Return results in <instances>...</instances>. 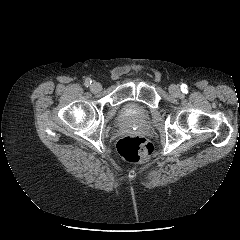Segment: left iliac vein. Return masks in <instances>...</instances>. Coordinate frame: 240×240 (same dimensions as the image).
<instances>
[{
	"mask_svg": "<svg viewBox=\"0 0 240 240\" xmlns=\"http://www.w3.org/2000/svg\"><path fill=\"white\" fill-rule=\"evenodd\" d=\"M169 92L174 97H180L182 95L180 88L177 85H171Z\"/></svg>",
	"mask_w": 240,
	"mask_h": 240,
	"instance_id": "obj_1",
	"label": "left iliac vein"
}]
</instances>
